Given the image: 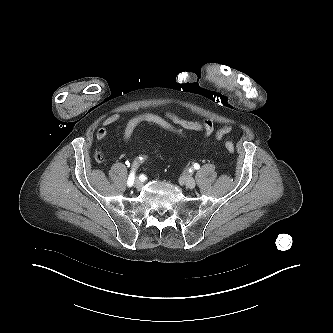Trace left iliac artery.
I'll list each match as a JSON object with an SVG mask.
<instances>
[{"label": "left iliac artery", "instance_id": "left-iliac-artery-1", "mask_svg": "<svg viewBox=\"0 0 333 333\" xmlns=\"http://www.w3.org/2000/svg\"><path fill=\"white\" fill-rule=\"evenodd\" d=\"M193 168L196 169V170H198V169L200 168V165H199L198 163H195V164L193 165Z\"/></svg>", "mask_w": 333, "mask_h": 333}]
</instances>
